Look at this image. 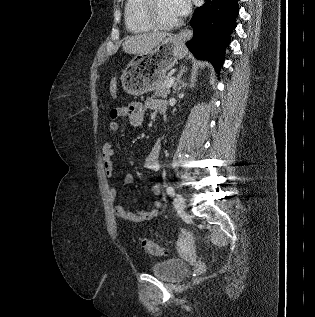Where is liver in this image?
<instances>
[{
    "label": "liver",
    "mask_w": 315,
    "mask_h": 317,
    "mask_svg": "<svg viewBox=\"0 0 315 317\" xmlns=\"http://www.w3.org/2000/svg\"><path fill=\"white\" fill-rule=\"evenodd\" d=\"M167 36H171V34L153 32L131 36L123 42V51L128 54L150 53Z\"/></svg>",
    "instance_id": "liver-1"
}]
</instances>
